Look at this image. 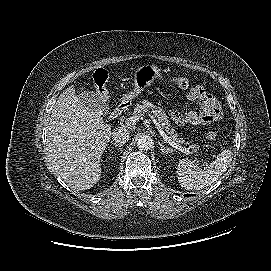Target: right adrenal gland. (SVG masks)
<instances>
[{
    "mask_svg": "<svg viewBox=\"0 0 271 271\" xmlns=\"http://www.w3.org/2000/svg\"><path fill=\"white\" fill-rule=\"evenodd\" d=\"M115 147H121V146H123L122 144H118V143H116V142H111Z\"/></svg>",
    "mask_w": 271,
    "mask_h": 271,
    "instance_id": "1",
    "label": "right adrenal gland"
}]
</instances>
